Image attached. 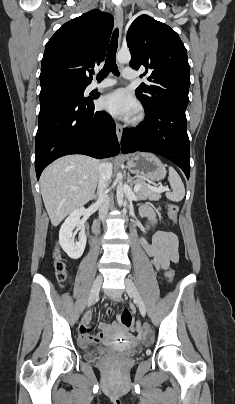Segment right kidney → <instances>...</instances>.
I'll use <instances>...</instances> for the list:
<instances>
[{
    "label": "right kidney",
    "mask_w": 235,
    "mask_h": 404,
    "mask_svg": "<svg viewBox=\"0 0 235 404\" xmlns=\"http://www.w3.org/2000/svg\"><path fill=\"white\" fill-rule=\"evenodd\" d=\"M81 210H74L65 220L59 231V243L62 249L72 259L82 256L86 246L85 227L80 224ZM80 230L79 241L74 243L73 231Z\"/></svg>",
    "instance_id": "obj_1"
}]
</instances>
